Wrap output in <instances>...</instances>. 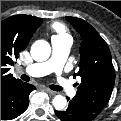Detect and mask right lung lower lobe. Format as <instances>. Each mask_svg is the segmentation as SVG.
<instances>
[{
  "label": "right lung lower lobe",
  "instance_id": "right-lung-lower-lobe-1",
  "mask_svg": "<svg viewBox=\"0 0 121 121\" xmlns=\"http://www.w3.org/2000/svg\"><path fill=\"white\" fill-rule=\"evenodd\" d=\"M35 86L22 81L11 83L1 89V120H11L26 111L29 94Z\"/></svg>",
  "mask_w": 121,
  "mask_h": 121
}]
</instances>
